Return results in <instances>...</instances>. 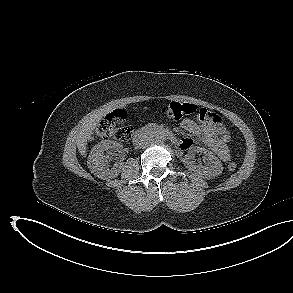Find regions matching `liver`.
Returning a JSON list of instances; mask_svg holds the SVG:
<instances>
[{"label":"liver","mask_w":293,"mask_h":293,"mask_svg":"<svg viewBox=\"0 0 293 293\" xmlns=\"http://www.w3.org/2000/svg\"><path fill=\"white\" fill-rule=\"evenodd\" d=\"M112 108L100 109L83 119V122L76 135V144L81 155H86L87 141L91 138L94 129L101 119L108 114Z\"/></svg>","instance_id":"6515ba94"}]
</instances>
